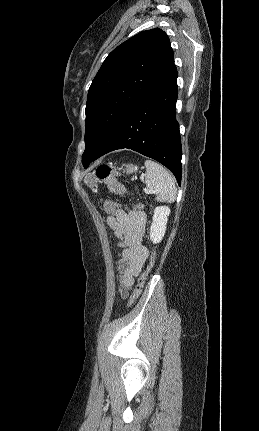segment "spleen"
Here are the masks:
<instances>
[{
    "label": "spleen",
    "mask_w": 259,
    "mask_h": 431,
    "mask_svg": "<svg viewBox=\"0 0 259 431\" xmlns=\"http://www.w3.org/2000/svg\"><path fill=\"white\" fill-rule=\"evenodd\" d=\"M145 183L148 190L155 194L158 202H174L177 188L173 176L159 163L146 160Z\"/></svg>",
    "instance_id": "1"
}]
</instances>
